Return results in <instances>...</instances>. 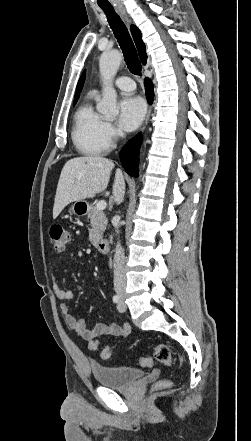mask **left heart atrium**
<instances>
[{
	"label": "left heart atrium",
	"instance_id": "obj_1",
	"mask_svg": "<svg viewBox=\"0 0 251 441\" xmlns=\"http://www.w3.org/2000/svg\"><path fill=\"white\" fill-rule=\"evenodd\" d=\"M146 113L144 101L139 97H126L120 102L118 124L125 131L135 130Z\"/></svg>",
	"mask_w": 251,
	"mask_h": 441
}]
</instances>
